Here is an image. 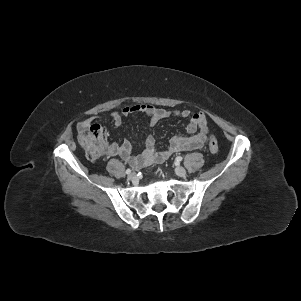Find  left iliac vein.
<instances>
[{
  "instance_id": "4c4485c4",
  "label": "left iliac vein",
  "mask_w": 301,
  "mask_h": 301,
  "mask_svg": "<svg viewBox=\"0 0 301 301\" xmlns=\"http://www.w3.org/2000/svg\"><path fill=\"white\" fill-rule=\"evenodd\" d=\"M175 173L180 177H184L186 175V170L182 166H177L175 168Z\"/></svg>"
}]
</instances>
